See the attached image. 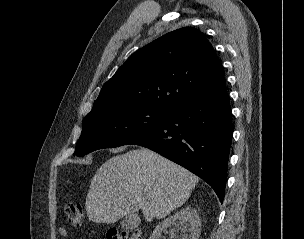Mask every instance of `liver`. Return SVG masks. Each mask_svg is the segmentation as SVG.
<instances>
[{"instance_id":"6515ba94","label":"liver","mask_w":304,"mask_h":239,"mask_svg":"<svg viewBox=\"0 0 304 239\" xmlns=\"http://www.w3.org/2000/svg\"><path fill=\"white\" fill-rule=\"evenodd\" d=\"M199 178L146 148L117 155L100 166L86 197L89 220L114 223L142 210L146 221L163 218L189 198Z\"/></svg>"}]
</instances>
